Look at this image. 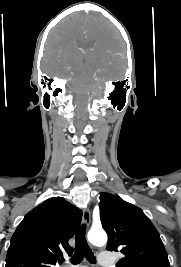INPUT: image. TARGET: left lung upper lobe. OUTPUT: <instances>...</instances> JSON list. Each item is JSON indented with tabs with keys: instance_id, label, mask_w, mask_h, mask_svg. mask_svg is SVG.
I'll list each match as a JSON object with an SVG mask.
<instances>
[{
	"instance_id": "obj_1",
	"label": "left lung upper lobe",
	"mask_w": 181,
	"mask_h": 267,
	"mask_svg": "<svg viewBox=\"0 0 181 267\" xmlns=\"http://www.w3.org/2000/svg\"><path fill=\"white\" fill-rule=\"evenodd\" d=\"M100 219L109 251L125 255L116 267H170L160 235L144 212L119 196L102 193Z\"/></svg>"
}]
</instances>
